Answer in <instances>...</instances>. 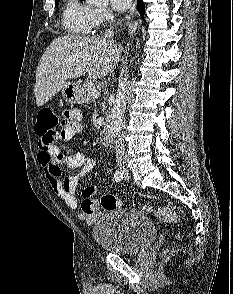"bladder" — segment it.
I'll list each match as a JSON object with an SVG mask.
<instances>
[{
	"label": "bladder",
	"instance_id": "31cf9c89",
	"mask_svg": "<svg viewBox=\"0 0 233 294\" xmlns=\"http://www.w3.org/2000/svg\"><path fill=\"white\" fill-rule=\"evenodd\" d=\"M92 236L104 250L136 254L154 240L156 228L141 211L122 207L102 215L92 227Z\"/></svg>",
	"mask_w": 233,
	"mask_h": 294
}]
</instances>
